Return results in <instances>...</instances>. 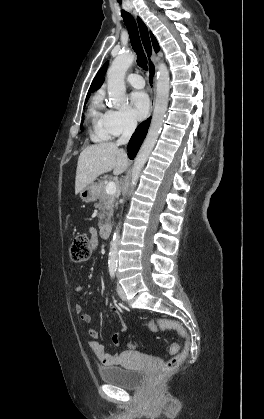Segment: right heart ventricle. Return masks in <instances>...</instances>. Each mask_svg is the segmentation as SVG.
Instances as JSON below:
<instances>
[{"instance_id":"obj_1","label":"right heart ventricle","mask_w":264,"mask_h":419,"mask_svg":"<svg viewBox=\"0 0 264 419\" xmlns=\"http://www.w3.org/2000/svg\"><path fill=\"white\" fill-rule=\"evenodd\" d=\"M108 111L102 92L95 93L88 108L89 137L94 142L108 140L111 136L106 123Z\"/></svg>"}]
</instances>
